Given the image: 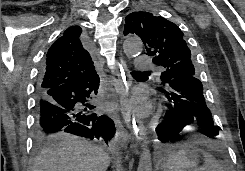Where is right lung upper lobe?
I'll return each mask as SVG.
<instances>
[{
  "label": "right lung upper lobe",
  "instance_id": "right-lung-upper-lobe-1",
  "mask_svg": "<svg viewBox=\"0 0 245 171\" xmlns=\"http://www.w3.org/2000/svg\"><path fill=\"white\" fill-rule=\"evenodd\" d=\"M98 77L82 29L71 26L49 48L37 88L49 89Z\"/></svg>",
  "mask_w": 245,
  "mask_h": 171
}]
</instances>
